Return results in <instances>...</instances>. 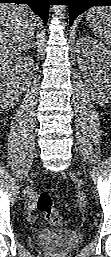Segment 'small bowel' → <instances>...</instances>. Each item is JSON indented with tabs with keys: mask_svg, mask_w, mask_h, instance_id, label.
<instances>
[{
	"mask_svg": "<svg viewBox=\"0 0 111 257\" xmlns=\"http://www.w3.org/2000/svg\"><path fill=\"white\" fill-rule=\"evenodd\" d=\"M33 208H34V202L31 200V201L29 202V204H28V211H29V213L32 212ZM30 218H31L32 220L35 219V217H34L33 215H31Z\"/></svg>",
	"mask_w": 111,
	"mask_h": 257,
	"instance_id": "1",
	"label": "small bowel"
}]
</instances>
